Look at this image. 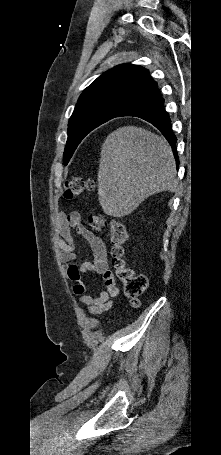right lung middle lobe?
I'll use <instances>...</instances> for the list:
<instances>
[{
  "mask_svg": "<svg viewBox=\"0 0 221 455\" xmlns=\"http://www.w3.org/2000/svg\"><path fill=\"white\" fill-rule=\"evenodd\" d=\"M124 109L115 104L94 103L75 108L68 124V139L64 151L67 165L81 140L93 129L118 117Z\"/></svg>",
  "mask_w": 221,
  "mask_h": 455,
  "instance_id": "1",
  "label": "right lung middle lobe"
}]
</instances>
